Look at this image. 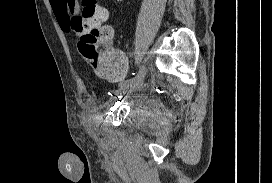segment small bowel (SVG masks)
Returning <instances> with one entry per match:
<instances>
[{"label": "small bowel", "mask_w": 272, "mask_h": 183, "mask_svg": "<svg viewBox=\"0 0 272 183\" xmlns=\"http://www.w3.org/2000/svg\"><path fill=\"white\" fill-rule=\"evenodd\" d=\"M53 12L62 27L63 30L68 31L67 27V15H68V0H49ZM105 28L110 32V38L107 40L109 47L118 55L117 63L105 71H100L98 74L105 78L108 81H119L120 79L124 78L127 71H128V61L126 56L120 51L113 47V36L114 31L111 27L105 26ZM90 113L85 112L81 115V118L85 119L89 117Z\"/></svg>", "instance_id": "c3829d8e"}]
</instances>
